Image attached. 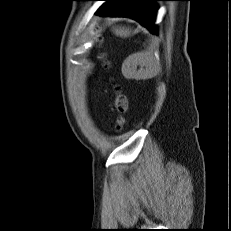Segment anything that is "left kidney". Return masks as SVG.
Segmentation results:
<instances>
[{"instance_id":"obj_1","label":"left kidney","mask_w":231,"mask_h":231,"mask_svg":"<svg viewBox=\"0 0 231 231\" xmlns=\"http://www.w3.org/2000/svg\"><path fill=\"white\" fill-rule=\"evenodd\" d=\"M140 69L137 70V66ZM159 70L155 57L148 52H138L128 56L122 64V73L126 79L145 80L154 77Z\"/></svg>"}]
</instances>
